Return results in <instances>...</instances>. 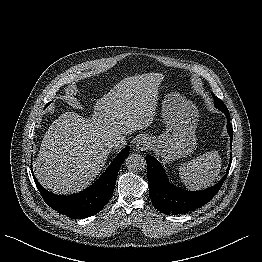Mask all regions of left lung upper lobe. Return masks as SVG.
<instances>
[{
    "label": "left lung upper lobe",
    "mask_w": 262,
    "mask_h": 262,
    "mask_svg": "<svg viewBox=\"0 0 262 262\" xmlns=\"http://www.w3.org/2000/svg\"><path fill=\"white\" fill-rule=\"evenodd\" d=\"M212 95L214 98V104L217 108L227 109L225 104L218 97H216L213 93Z\"/></svg>",
    "instance_id": "left-lung-upper-lobe-1"
}]
</instances>
